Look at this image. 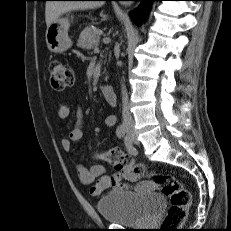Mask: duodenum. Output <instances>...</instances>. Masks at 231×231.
Returning a JSON list of instances; mask_svg holds the SVG:
<instances>
[{"label": "duodenum", "instance_id": "duodenum-1", "mask_svg": "<svg viewBox=\"0 0 231 231\" xmlns=\"http://www.w3.org/2000/svg\"><path fill=\"white\" fill-rule=\"evenodd\" d=\"M102 93L105 98V100L111 105L116 106L117 105V94L113 87L111 86H104L102 88Z\"/></svg>", "mask_w": 231, "mask_h": 231}]
</instances>
